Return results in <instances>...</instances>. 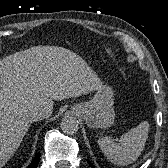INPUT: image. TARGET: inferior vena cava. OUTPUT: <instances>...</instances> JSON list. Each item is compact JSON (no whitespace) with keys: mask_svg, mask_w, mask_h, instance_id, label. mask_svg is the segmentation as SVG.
I'll return each instance as SVG.
<instances>
[{"mask_svg":"<svg viewBox=\"0 0 168 168\" xmlns=\"http://www.w3.org/2000/svg\"><path fill=\"white\" fill-rule=\"evenodd\" d=\"M50 115L51 113L49 111L41 107H36L28 112V118L33 122L48 118Z\"/></svg>","mask_w":168,"mask_h":168,"instance_id":"inferior-vena-cava-1","label":"inferior vena cava"}]
</instances>
